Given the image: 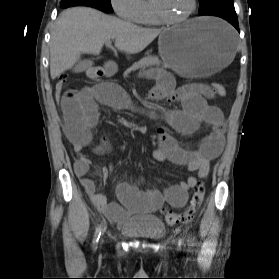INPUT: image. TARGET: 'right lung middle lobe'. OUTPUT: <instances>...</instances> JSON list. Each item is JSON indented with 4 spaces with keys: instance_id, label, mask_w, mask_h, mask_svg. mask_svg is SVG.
<instances>
[{
    "instance_id": "1",
    "label": "right lung middle lobe",
    "mask_w": 279,
    "mask_h": 279,
    "mask_svg": "<svg viewBox=\"0 0 279 279\" xmlns=\"http://www.w3.org/2000/svg\"><path fill=\"white\" fill-rule=\"evenodd\" d=\"M98 4H100L106 11L112 12V6L110 0H95Z\"/></svg>"
}]
</instances>
